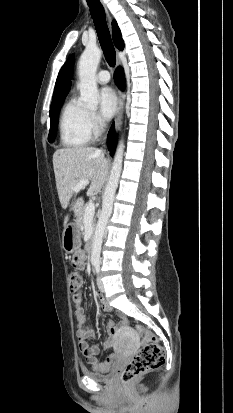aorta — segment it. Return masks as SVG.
I'll use <instances>...</instances> for the list:
<instances>
[{"label":"aorta","mask_w":233,"mask_h":413,"mask_svg":"<svg viewBox=\"0 0 233 413\" xmlns=\"http://www.w3.org/2000/svg\"><path fill=\"white\" fill-rule=\"evenodd\" d=\"M102 51L95 48H86L78 62V88L81 100L90 107H96L99 102V92L96 84V71L101 60ZM124 143L120 141L114 156L110 176L105 187L102 201V210L98 219L92 244L91 263L99 266L103 236L107 222L111 216L115 193L118 187L123 162Z\"/></svg>","instance_id":"1"}]
</instances>
